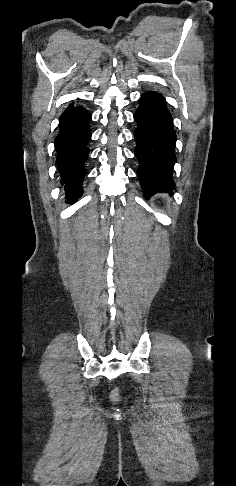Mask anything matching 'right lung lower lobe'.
Wrapping results in <instances>:
<instances>
[{"mask_svg":"<svg viewBox=\"0 0 236 486\" xmlns=\"http://www.w3.org/2000/svg\"><path fill=\"white\" fill-rule=\"evenodd\" d=\"M90 120L91 114L74 103L68 105L59 119V133L55 139L56 165L69 201L79 198L83 192L81 183L86 174L84 162L89 154Z\"/></svg>","mask_w":236,"mask_h":486,"instance_id":"98d812e1","label":"right lung lower lobe"}]
</instances>
